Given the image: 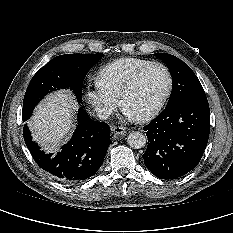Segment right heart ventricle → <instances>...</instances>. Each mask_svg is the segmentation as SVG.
<instances>
[{
    "label": "right heart ventricle",
    "mask_w": 233,
    "mask_h": 233,
    "mask_svg": "<svg viewBox=\"0 0 233 233\" xmlns=\"http://www.w3.org/2000/svg\"><path fill=\"white\" fill-rule=\"evenodd\" d=\"M150 62V60L136 57L116 59L100 68L97 80L109 93L119 98L123 87L132 74Z\"/></svg>",
    "instance_id": "right-heart-ventricle-1"
}]
</instances>
